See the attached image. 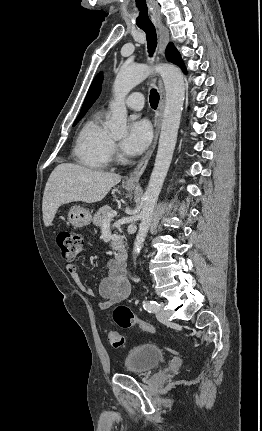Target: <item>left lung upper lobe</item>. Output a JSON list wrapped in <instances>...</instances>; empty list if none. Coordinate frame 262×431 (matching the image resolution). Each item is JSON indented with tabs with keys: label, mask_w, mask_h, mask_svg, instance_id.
I'll use <instances>...</instances> for the list:
<instances>
[{
	"label": "left lung upper lobe",
	"mask_w": 262,
	"mask_h": 431,
	"mask_svg": "<svg viewBox=\"0 0 262 431\" xmlns=\"http://www.w3.org/2000/svg\"><path fill=\"white\" fill-rule=\"evenodd\" d=\"M166 57L169 61L178 64L183 70H185L180 54L175 49L172 43H170L166 49Z\"/></svg>",
	"instance_id": "1"
}]
</instances>
